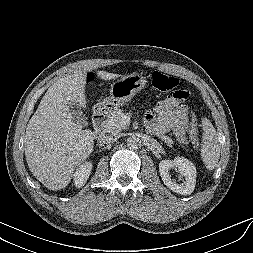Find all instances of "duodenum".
<instances>
[{
	"label": "duodenum",
	"instance_id": "duodenum-1",
	"mask_svg": "<svg viewBox=\"0 0 253 253\" xmlns=\"http://www.w3.org/2000/svg\"><path fill=\"white\" fill-rule=\"evenodd\" d=\"M105 121H106V114L98 110L95 112L93 116V127L97 134V136H102L105 132Z\"/></svg>",
	"mask_w": 253,
	"mask_h": 253
}]
</instances>
